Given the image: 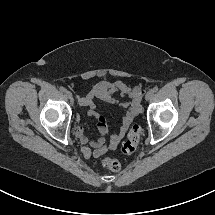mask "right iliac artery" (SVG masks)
Wrapping results in <instances>:
<instances>
[{
	"label": "right iliac artery",
	"instance_id": "right-iliac-artery-1",
	"mask_svg": "<svg viewBox=\"0 0 215 215\" xmlns=\"http://www.w3.org/2000/svg\"><path fill=\"white\" fill-rule=\"evenodd\" d=\"M60 91H61V92H65L66 89H65L64 87H60Z\"/></svg>",
	"mask_w": 215,
	"mask_h": 215
}]
</instances>
